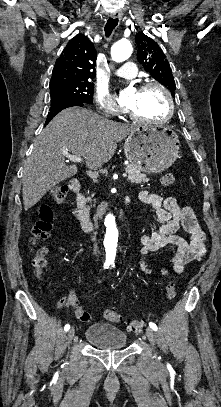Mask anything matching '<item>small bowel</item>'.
<instances>
[{
    "label": "small bowel",
    "mask_w": 221,
    "mask_h": 407,
    "mask_svg": "<svg viewBox=\"0 0 221 407\" xmlns=\"http://www.w3.org/2000/svg\"><path fill=\"white\" fill-rule=\"evenodd\" d=\"M139 199L143 203L152 206L159 221V225L155 230L142 236V255L167 244L173 245L176 250L172 259V269L174 272L180 273L188 262L197 260L205 254L206 236L190 206L180 204L173 196L164 199L159 194L145 190L140 192ZM180 228H183L190 235L189 242H186L183 237L177 234ZM182 258L185 260L182 261ZM140 263L143 271L151 274V270L146 266L145 262L141 260ZM157 274L161 276L167 275L168 270L161 269ZM97 281L100 282V280ZM70 300H73V297ZM55 305L61 308L64 301L57 297L55 298Z\"/></svg>",
    "instance_id": "c3829d8e"
}]
</instances>
